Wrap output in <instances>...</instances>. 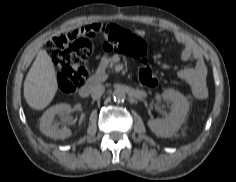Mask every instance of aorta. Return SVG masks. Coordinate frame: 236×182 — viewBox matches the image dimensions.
<instances>
[{"label":"aorta","instance_id":"1","mask_svg":"<svg viewBox=\"0 0 236 182\" xmlns=\"http://www.w3.org/2000/svg\"><path fill=\"white\" fill-rule=\"evenodd\" d=\"M113 99L114 101H117V102H122L125 100L126 98V93L123 89L121 88H117L113 91Z\"/></svg>","mask_w":236,"mask_h":182}]
</instances>
